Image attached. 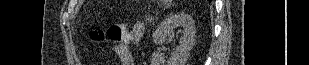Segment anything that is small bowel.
<instances>
[{"instance_id":"1","label":"small bowel","mask_w":309,"mask_h":65,"mask_svg":"<svg viewBox=\"0 0 309 65\" xmlns=\"http://www.w3.org/2000/svg\"><path fill=\"white\" fill-rule=\"evenodd\" d=\"M144 30V25L141 22H136L132 29L127 31L123 40L114 46V52L122 65H134L131 46L141 40Z\"/></svg>"}]
</instances>
